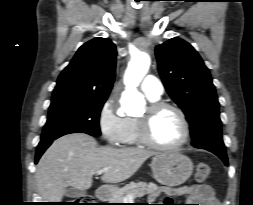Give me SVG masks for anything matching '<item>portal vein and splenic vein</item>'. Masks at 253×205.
I'll return each instance as SVG.
<instances>
[{
	"instance_id": "1",
	"label": "portal vein and splenic vein",
	"mask_w": 253,
	"mask_h": 205,
	"mask_svg": "<svg viewBox=\"0 0 253 205\" xmlns=\"http://www.w3.org/2000/svg\"><path fill=\"white\" fill-rule=\"evenodd\" d=\"M107 169H101V170H98L96 173L98 175H101L103 174ZM133 200V195H128L127 197H125V201H132Z\"/></svg>"
}]
</instances>
